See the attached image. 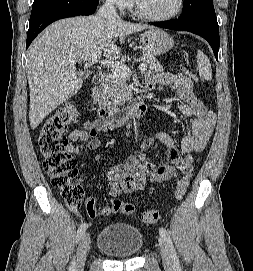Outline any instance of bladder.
<instances>
[{
  "label": "bladder",
  "instance_id": "1",
  "mask_svg": "<svg viewBox=\"0 0 253 271\" xmlns=\"http://www.w3.org/2000/svg\"><path fill=\"white\" fill-rule=\"evenodd\" d=\"M144 244L143 233L129 223H111L98 235L97 248L113 259L136 257Z\"/></svg>",
  "mask_w": 253,
  "mask_h": 271
}]
</instances>
